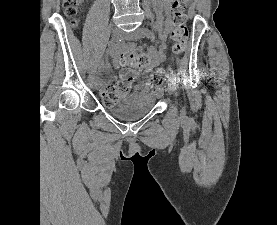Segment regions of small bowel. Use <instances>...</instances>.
Segmentation results:
<instances>
[{
	"label": "small bowel",
	"mask_w": 277,
	"mask_h": 225,
	"mask_svg": "<svg viewBox=\"0 0 277 225\" xmlns=\"http://www.w3.org/2000/svg\"><path fill=\"white\" fill-rule=\"evenodd\" d=\"M153 4H154V10L156 13L157 26L159 28H161L163 18L165 17V28L163 30V36H165L172 28L171 13H170L172 0H153ZM148 54L151 58V65L148 68V70L152 71L163 62L164 55L161 51L156 50L154 48H150L148 50ZM111 55L114 58V66L118 68L120 66L118 52L112 51ZM110 71H111V65L108 62L102 63L101 66L99 67V72L103 76V79L101 81L102 85L107 83L111 79Z\"/></svg>",
	"instance_id": "obj_1"
}]
</instances>
